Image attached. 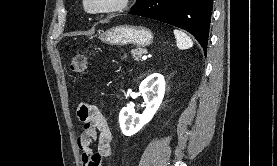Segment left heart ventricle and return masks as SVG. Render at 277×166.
<instances>
[{
	"instance_id": "obj_1",
	"label": "left heart ventricle",
	"mask_w": 277,
	"mask_h": 166,
	"mask_svg": "<svg viewBox=\"0 0 277 166\" xmlns=\"http://www.w3.org/2000/svg\"><path fill=\"white\" fill-rule=\"evenodd\" d=\"M106 1H108V0H92L91 5L96 6V5L106 2Z\"/></svg>"
}]
</instances>
